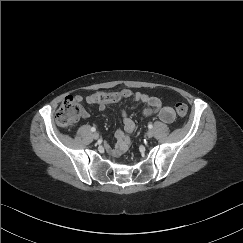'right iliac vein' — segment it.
I'll list each match as a JSON object with an SVG mask.
<instances>
[{"mask_svg":"<svg viewBox=\"0 0 243 243\" xmlns=\"http://www.w3.org/2000/svg\"><path fill=\"white\" fill-rule=\"evenodd\" d=\"M92 136L95 140L99 138V134L97 132H94Z\"/></svg>","mask_w":243,"mask_h":243,"instance_id":"1","label":"right iliac vein"}]
</instances>
